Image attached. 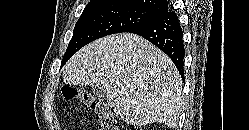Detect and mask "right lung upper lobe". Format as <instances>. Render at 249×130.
<instances>
[{"mask_svg": "<svg viewBox=\"0 0 249 130\" xmlns=\"http://www.w3.org/2000/svg\"><path fill=\"white\" fill-rule=\"evenodd\" d=\"M100 3H116L136 6L144 10L156 12L160 16L169 11L166 0H90L87 5Z\"/></svg>", "mask_w": 249, "mask_h": 130, "instance_id": "obj_1", "label": "right lung upper lobe"}]
</instances>
